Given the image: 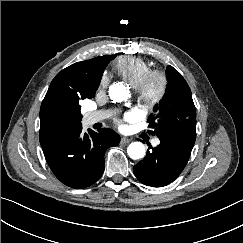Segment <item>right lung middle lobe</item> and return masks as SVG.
I'll return each instance as SVG.
<instances>
[{"mask_svg":"<svg viewBox=\"0 0 243 243\" xmlns=\"http://www.w3.org/2000/svg\"><path fill=\"white\" fill-rule=\"evenodd\" d=\"M115 56H108L107 59L105 60V64H104V67L109 63L110 60L114 59Z\"/></svg>","mask_w":243,"mask_h":243,"instance_id":"dd1d6c3e","label":"right lung middle lobe"}]
</instances>
